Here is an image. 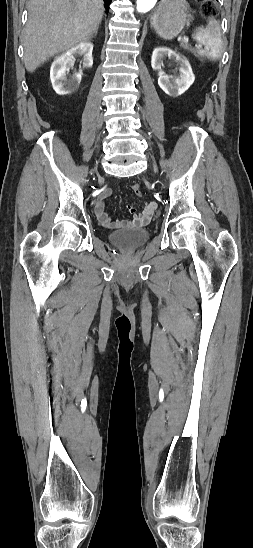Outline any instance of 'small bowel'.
<instances>
[{
  "mask_svg": "<svg viewBox=\"0 0 253 548\" xmlns=\"http://www.w3.org/2000/svg\"><path fill=\"white\" fill-rule=\"evenodd\" d=\"M111 195V190H104L95 201V214L99 222L108 228H122V227H140L149 223L153 216L157 204L154 201L146 202L143 205L142 211L138 212L133 207H129L134 217L131 220H112L109 214L105 211V201Z\"/></svg>",
  "mask_w": 253,
  "mask_h": 548,
  "instance_id": "c3829d8e",
  "label": "small bowel"
}]
</instances>
